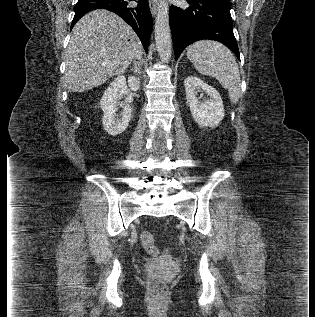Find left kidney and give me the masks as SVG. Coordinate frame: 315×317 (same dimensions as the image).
Wrapping results in <instances>:
<instances>
[{
	"instance_id": "left-kidney-1",
	"label": "left kidney",
	"mask_w": 315,
	"mask_h": 317,
	"mask_svg": "<svg viewBox=\"0 0 315 317\" xmlns=\"http://www.w3.org/2000/svg\"><path fill=\"white\" fill-rule=\"evenodd\" d=\"M187 104L194 121L201 127H216L224 118V106L218 91L195 76L184 80ZM198 93L207 94L209 99L203 101Z\"/></svg>"
}]
</instances>
